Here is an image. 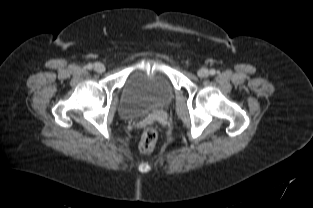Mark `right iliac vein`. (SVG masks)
I'll return each instance as SVG.
<instances>
[{
	"label": "right iliac vein",
	"mask_w": 313,
	"mask_h": 208,
	"mask_svg": "<svg viewBox=\"0 0 313 208\" xmlns=\"http://www.w3.org/2000/svg\"><path fill=\"white\" fill-rule=\"evenodd\" d=\"M94 70L98 73H102L105 71V66L102 63L97 62L94 64Z\"/></svg>",
	"instance_id": "right-iliac-vein-1"
}]
</instances>
